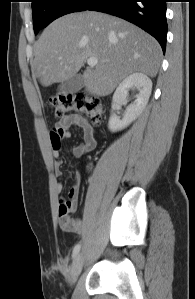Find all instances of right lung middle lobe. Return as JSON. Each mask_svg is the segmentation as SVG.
Listing matches in <instances>:
<instances>
[{"mask_svg": "<svg viewBox=\"0 0 195 299\" xmlns=\"http://www.w3.org/2000/svg\"><path fill=\"white\" fill-rule=\"evenodd\" d=\"M34 32L49 25L53 20L73 12L84 11L92 0H31Z\"/></svg>", "mask_w": 195, "mask_h": 299, "instance_id": "right-lung-middle-lobe-1", "label": "right lung middle lobe"}]
</instances>
